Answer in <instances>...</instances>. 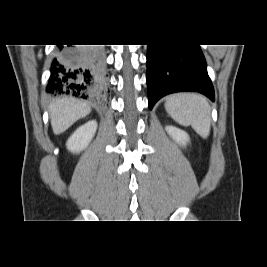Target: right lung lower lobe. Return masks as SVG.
Here are the masks:
<instances>
[{
  "label": "right lung lower lobe",
  "mask_w": 267,
  "mask_h": 267,
  "mask_svg": "<svg viewBox=\"0 0 267 267\" xmlns=\"http://www.w3.org/2000/svg\"><path fill=\"white\" fill-rule=\"evenodd\" d=\"M104 54L99 47L60 45L50 68L46 90L52 95L100 98L105 89Z\"/></svg>",
  "instance_id": "obj_1"
}]
</instances>
